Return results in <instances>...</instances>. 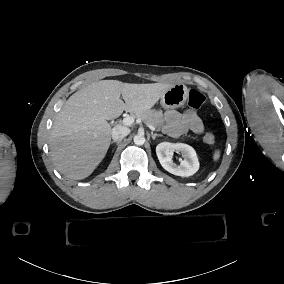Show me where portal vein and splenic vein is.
Wrapping results in <instances>:
<instances>
[{"mask_svg":"<svg viewBox=\"0 0 284 284\" xmlns=\"http://www.w3.org/2000/svg\"><path fill=\"white\" fill-rule=\"evenodd\" d=\"M135 121V119L131 116H127L125 118H123V124L124 125H127V126H130L131 124H133ZM147 126L149 127L150 130L154 131L155 130V127L150 125V124H147Z\"/></svg>","mask_w":284,"mask_h":284,"instance_id":"18ae733b","label":"portal vein and splenic vein"}]
</instances>
